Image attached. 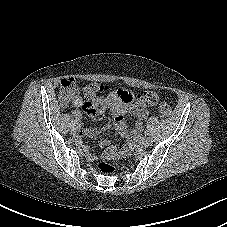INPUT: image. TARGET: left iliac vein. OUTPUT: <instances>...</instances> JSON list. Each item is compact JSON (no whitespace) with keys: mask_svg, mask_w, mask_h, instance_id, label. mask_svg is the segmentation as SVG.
I'll return each mask as SVG.
<instances>
[{"mask_svg":"<svg viewBox=\"0 0 227 227\" xmlns=\"http://www.w3.org/2000/svg\"><path fill=\"white\" fill-rule=\"evenodd\" d=\"M142 146L144 147H149L153 144L152 138L151 137H144L141 141Z\"/></svg>","mask_w":227,"mask_h":227,"instance_id":"obj_1","label":"left iliac vein"}]
</instances>
